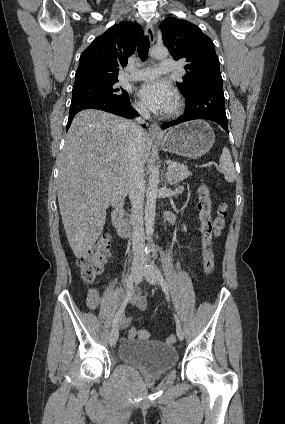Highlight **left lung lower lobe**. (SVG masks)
<instances>
[{
	"label": "left lung lower lobe",
	"mask_w": 285,
	"mask_h": 424,
	"mask_svg": "<svg viewBox=\"0 0 285 424\" xmlns=\"http://www.w3.org/2000/svg\"><path fill=\"white\" fill-rule=\"evenodd\" d=\"M196 119L214 121L229 133L222 85L212 84L195 89L186 97L184 114L176 120L163 123L162 129Z\"/></svg>",
	"instance_id": "0a47b994"
}]
</instances>
